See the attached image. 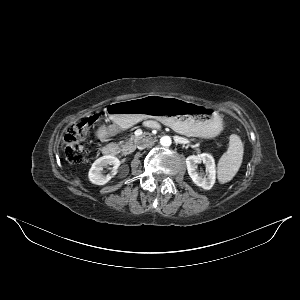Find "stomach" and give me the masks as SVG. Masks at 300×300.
<instances>
[{"mask_svg":"<svg viewBox=\"0 0 300 300\" xmlns=\"http://www.w3.org/2000/svg\"><path fill=\"white\" fill-rule=\"evenodd\" d=\"M106 113L120 129L154 118L188 136L214 138L223 130L218 111L172 96L148 95L116 101L109 104Z\"/></svg>","mask_w":300,"mask_h":300,"instance_id":"stomach-1","label":"stomach"}]
</instances>
